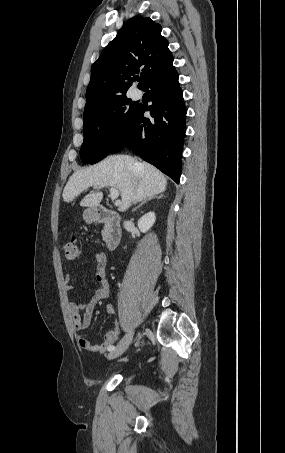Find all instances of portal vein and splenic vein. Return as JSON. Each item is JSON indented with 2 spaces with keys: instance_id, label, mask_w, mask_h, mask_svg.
Wrapping results in <instances>:
<instances>
[{
  "instance_id": "portal-vein-and-splenic-vein-1",
  "label": "portal vein and splenic vein",
  "mask_w": 285,
  "mask_h": 453,
  "mask_svg": "<svg viewBox=\"0 0 285 453\" xmlns=\"http://www.w3.org/2000/svg\"><path fill=\"white\" fill-rule=\"evenodd\" d=\"M110 197L112 200H116L119 197V190L113 187L110 188ZM120 203V201L115 202L116 205H120Z\"/></svg>"
}]
</instances>
